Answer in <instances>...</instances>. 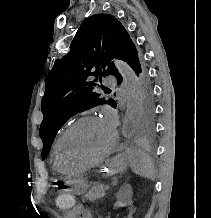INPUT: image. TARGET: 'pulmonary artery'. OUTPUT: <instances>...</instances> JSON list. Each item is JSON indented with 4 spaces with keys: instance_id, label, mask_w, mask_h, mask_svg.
<instances>
[{
    "instance_id": "pulmonary-artery-1",
    "label": "pulmonary artery",
    "mask_w": 211,
    "mask_h": 218,
    "mask_svg": "<svg viewBox=\"0 0 211 218\" xmlns=\"http://www.w3.org/2000/svg\"><path fill=\"white\" fill-rule=\"evenodd\" d=\"M103 85H109V89H116V85L119 84L118 80H115V75H104Z\"/></svg>"
}]
</instances>
